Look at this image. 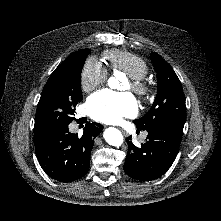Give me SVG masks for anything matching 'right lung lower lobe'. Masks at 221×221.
Instances as JSON below:
<instances>
[{
    "label": "right lung lower lobe",
    "instance_id": "obj_1",
    "mask_svg": "<svg viewBox=\"0 0 221 221\" xmlns=\"http://www.w3.org/2000/svg\"><path fill=\"white\" fill-rule=\"evenodd\" d=\"M99 123H86L81 137L71 134L68 125L34 135L35 151L45 173L60 182H71L89 170L94 139L102 131Z\"/></svg>",
    "mask_w": 221,
    "mask_h": 221
}]
</instances>
